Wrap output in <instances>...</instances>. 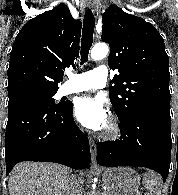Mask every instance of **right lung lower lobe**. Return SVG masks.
I'll return each instance as SVG.
<instances>
[{
  "label": "right lung lower lobe",
  "mask_w": 178,
  "mask_h": 195,
  "mask_svg": "<svg viewBox=\"0 0 178 195\" xmlns=\"http://www.w3.org/2000/svg\"><path fill=\"white\" fill-rule=\"evenodd\" d=\"M72 113L71 102L61 106L25 102L8 106L7 175L21 161H48L74 169L89 168V141L75 124Z\"/></svg>",
  "instance_id": "98d812e1"
}]
</instances>
